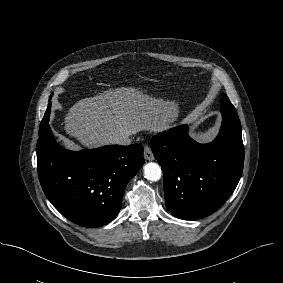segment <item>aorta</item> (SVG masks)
Instances as JSON below:
<instances>
[{"instance_id":"aorta-1","label":"aorta","mask_w":283,"mask_h":283,"mask_svg":"<svg viewBox=\"0 0 283 283\" xmlns=\"http://www.w3.org/2000/svg\"><path fill=\"white\" fill-rule=\"evenodd\" d=\"M161 174V168L157 163L149 162L144 166V176L150 181H158Z\"/></svg>"}]
</instances>
